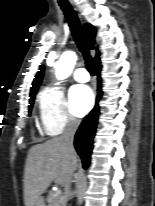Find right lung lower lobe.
I'll list each match as a JSON object with an SVG mask.
<instances>
[{"label": "right lung lower lobe", "instance_id": "right-lung-lower-lobe-1", "mask_svg": "<svg viewBox=\"0 0 155 206\" xmlns=\"http://www.w3.org/2000/svg\"><path fill=\"white\" fill-rule=\"evenodd\" d=\"M100 69L101 66H99L97 69L98 90H97V97H96V105L94 109L89 113V115H87L82 121L75 135V141H74L75 149L82 159L84 168H87L90 163V155L93 149V138L95 136L97 119L99 115L98 102L102 96Z\"/></svg>", "mask_w": 155, "mask_h": 206}]
</instances>
